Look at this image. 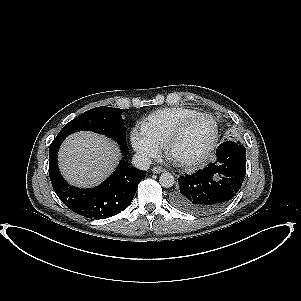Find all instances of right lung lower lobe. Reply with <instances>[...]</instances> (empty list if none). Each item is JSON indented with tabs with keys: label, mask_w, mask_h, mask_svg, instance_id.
<instances>
[{
	"label": "right lung lower lobe",
	"mask_w": 301,
	"mask_h": 301,
	"mask_svg": "<svg viewBox=\"0 0 301 301\" xmlns=\"http://www.w3.org/2000/svg\"><path fill=\"white\" fill-rule=\"evenodd\" d=\"M65 137H56L49 148V176L59 199L72 211L90 219H105L125 210L136 193L138 183L146 177V171L130 167L121 161L101 185L91 189L69 186L62 178L57 165L58 149ZM117 141V140H116ZM122 154H128V146L117 141Z\"/></svg>",
	"instance_id": "98d812e1"
}]
</instances>
